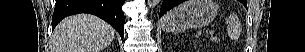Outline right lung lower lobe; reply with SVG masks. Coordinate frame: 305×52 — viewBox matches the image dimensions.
Here are the masks:
<instances>
[{"label":"right lung lower lobe","instance_id":"right-lung-lower-lobe-1","mask_svg":"<svg viewBox=\"0 0 305 52\" xmlns=\"http://www.w3.org/2000/svg\"><path fill=\"white\" fill-rule=\"evenodd\" d=\"M125 0H56L52 18V29L65 17L77 13H90L109 23L124 37V13L122 6Z\"/></svg>","mask_w":305,"mask_h":52}]
</instances>
